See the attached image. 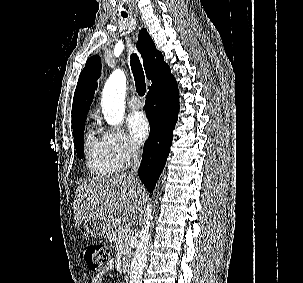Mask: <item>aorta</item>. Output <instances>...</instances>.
Segmentation results:
<instances>
[{"label": "aorta", "mask_w": 303, "mask_h": 283, "mask_svg": "<svg viewBox=\"0 0 303 283\" xmlns=\"http://www.w3.org/2000/svg\"><path fill=\"white\" fill-rule=\"evenodd\" d=\"M126 76L119 69L114 70L105 83L102 93V109L106 122L110 125L121 123L124 115ZM152 204L146 208L144 226L139 231V242L131 261L129 283H142V275L147 262L150 228L152 226Z\"/></svg>", "instance_id": "aorta-1"}]
</instances>
